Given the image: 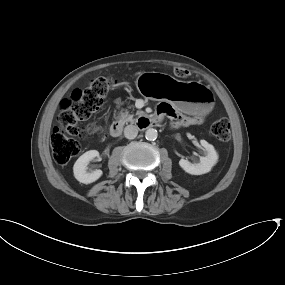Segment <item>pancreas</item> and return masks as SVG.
Instances as JSON below:
<instances>
[{
    "label": "pancreas",
    "mask_w": 285,
    "mask_h": 285,
    "mask_svg": "<svg viewBox=\"0 0 285 285\" xmlns=\"http://www.w3.org/2000/svg\"><path fill=\"white\" fill-rule=\"evenodd\" d=\"M140 114L141 112L137 111L136 115H140ZM118 119H119V122L122 124H125L128 122L135 123L137 121V119L134 118V115L129 113L128 109H121Z\"/></svg>",
    "instance_id": "pancreas-1"
}]
</instances>
